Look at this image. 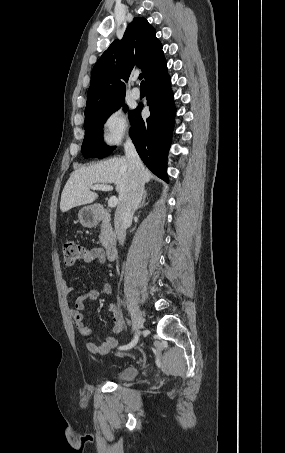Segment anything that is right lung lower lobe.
Returning a JSON list of instances; mask_svg holds the SVG:
<instances>
[{
	"label": "right lung lower lobe",
	"mask_w": 285,
	"mask_h": 453,
	"mask_svg": "<svg viewBox=\"0 0 285 453\" xmlns=\"http://www.w3.org/2000/svg\"><path fill=\"white\" fill-rule=\"evenodd\" d=\"M147 105L151 115L142 119L139 105L130 121V137L145 165L159 178L168 182L167 153L174 127L175 106L171 80L167 67L151 76L146 82Z\"/></svg>",
	"instance_id": "98d812e1"
}]
</instances>
